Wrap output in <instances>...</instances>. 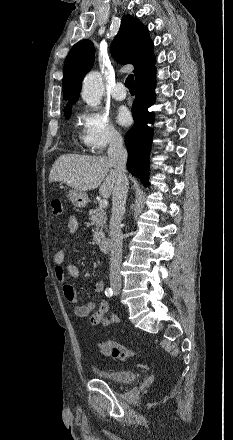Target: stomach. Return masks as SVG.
Returning <instances> with one entry per match:
<instances>
[{
	"mask_svg": "<svg viewBox=\"0 0 233 440\" xmlns=\"http://www.w3.org/2000/svg\"><path fill=\"white\" fill-rule=\"evenodd\" d=\"M68 196L73 205L78 208L85 207L89 202L87 194L76 189L69 190Z\"/></svg>",
	"mask_w": 233,
	"mask_h": 440,
	"instance_id": "obj_1",
	"label": "stomach"
}]
</instances>
